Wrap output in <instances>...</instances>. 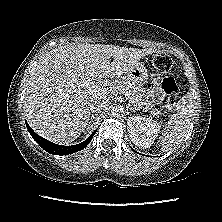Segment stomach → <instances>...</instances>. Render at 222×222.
I'll list each match as a JSON object with an SVG mask.
<instances>
[{"label": "stomach", "instance_id": "stomach-1", "mask_svg": "<svg viewBox=\"0 0 222 222\" xmlns=\"http://www.w3.org/2000/svg\"><path fill=\"white\" fill-rule=\"evenodd\" d=\"M124 79L132 82L137 86H142L148 80V70L143 63H137L124 75Z\"/></svg>", "mask_w": 222, "mask_h": 222}]
</instances>
